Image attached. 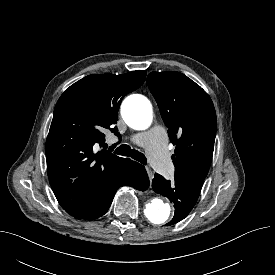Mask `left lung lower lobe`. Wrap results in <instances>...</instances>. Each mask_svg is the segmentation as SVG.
<instances>
[{
    "instance_id": "0a47b994",
    "label": "left lung lower lobe",
    "mask_w": 275,
    "mask_h": 275,
    "mask_svg": "<svg viewBox=\"0 0 275 275\" xmlns=\"http://www.w3.org/2000/svg\"><path fill=\"white\" fill-rule=\"evenodd\" d=\"M152 187L175 205L173 219L167 224H175L184 219L192 210L199 197L202 184L191 179L182 178L174 175L172 181L166 180L159 174L154 175Z\"/></svg>"
}]
</instances>
